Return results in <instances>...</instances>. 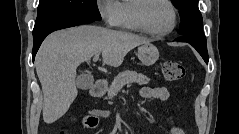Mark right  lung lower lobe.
<instances>
[{
  "label": "right lung lower lobe",
  "instance_id": "1",
  "mask_svg": "<svg viewBox=\"0 0 239 134\" xmlns=\"http://www.w3.org/2000/svg\"><path fill=\"white\" fill-rule=\"evenodd\" d=\"M94 20L87 19V18H81V17H71V18H64L58 21H55L48 26H46L44 29L39 31L36 34H33L34 38V45H33V60L35 58V55L38 51V48L40 47L42 41L45 39V37L50 34L53 31L64 29L68 27L77 26L80 24H88L93 22Z\"/></svg>",
  "mask_w": 239,
  "mask_h": 134
}]
</instances>
